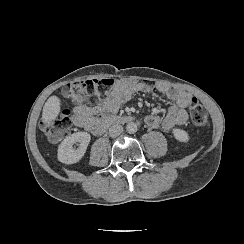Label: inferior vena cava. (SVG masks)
Instances as JSON below:
<instances>
[{"mask_svg":"<svg viewBox=\"0 0 244 244\" xmlns=\"http://www.w3.org/2000/svg\"><path fill=\"white\" fill-rule=\"evenodd\" d=\"M123 132V127L119 124H114L109 128V135L111 137H117Z\"/></svg>","mask_w":244,"mask_h":244,"instance_id":"inferior-vena-cava-1","label":"inferior vena cava"}]
</instances>
